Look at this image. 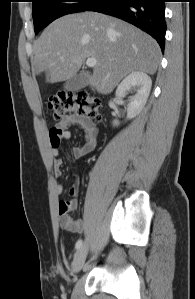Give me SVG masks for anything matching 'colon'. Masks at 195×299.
Masks as SVG:
<instances>
[{
	"mask_svg": "<svg viewBox=\"0 0 195 299\" xmlns=\"http://www.w3.org/2000/svg\"><path fill=\"white\" fill-rule=\"evenodd\" d=\"M47 105L56 120L63 118L69 113L88 116L94 119L99 117L100 106L98 102L85 91L53 95L48 99Z\"/></svg>",
	"mask_w": 195,
	"mask_h": 299,
	"instance_id": "obj_1",
	"label": "colon"
}]
</instances>
